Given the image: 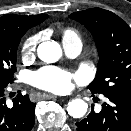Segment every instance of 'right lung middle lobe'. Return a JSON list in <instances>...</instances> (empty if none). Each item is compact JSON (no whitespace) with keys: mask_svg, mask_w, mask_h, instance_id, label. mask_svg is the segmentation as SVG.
<instances>
[{"mask_svg":"<svg viewBox=\"0 0 131 131\" xmlns=\"http://www.w3.org/2000/svg\"><path fill=\"white\" fill-rule=\"evenodd\" d=\"M24 34L25 32L14 35L0 33V86H7L14 80L17 48Z\"/></svg>","mask_w":131,"mask_h":131,"instance_id":"1","label":"right lung middle lobe"}]
</instances>
